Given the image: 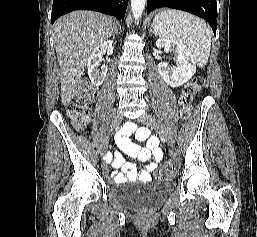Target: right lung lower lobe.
I'll return each mask as SVG.
<instances>
[{
    "mask_svg": "<svg viewBox=\"0 0 257 237\" xmlns=\"http://www.w3.org/2000/svg\"><path fill=\"white\" fill-rule=\"evenodd\" d=\"M128 0H53L51 21L74 10H93L124 19Z\"/></svg>",
    "mask_w": 257,
    "mask_h": 237,
    "instance_id": "98d812e1",
    "label": "right lung lower lobe"
}]
</instances>
